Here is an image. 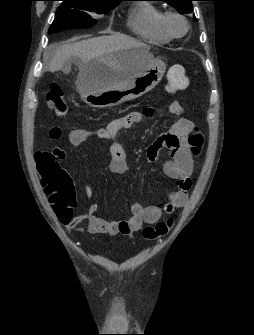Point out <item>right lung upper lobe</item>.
Listing matches in <instances>:
<instances>
[{
  "label": "right lung upper lobe",
  "mask_w": 254,
  "mask_h": 335,
  "mask_svg": "<svg viewBox=\"0 0 254 335\" xmlns=\"http://www.w3.org/2000/svg\"><path fill=\"white\" fill-rule=\"evenodd\" d=\"M89 1H99V2H109V3H120L123 0H89Z\"/></svg>",
  "instance_id": "obj_1"
}]
</instances>
